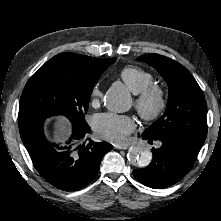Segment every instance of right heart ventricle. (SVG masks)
<instances>
[{
	"label": "right heart ventricle",
	"instance_id": "right-heart-ventricle-1",
	"mask_svg": "<svg viewBox=\"0 0 221 221\" xmlns=\"http://www.w3.org/2000/svg\"><path fill=\"white\" fill-rule=\"evenodd\" d=\"M119 76L134 94L141 92L153 82V76L149 72L135 66L124 67L120 70Z\"/></svg>",
	"mask_w": 221,
	"mask_h": 221
}]
</instances>
